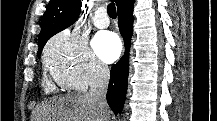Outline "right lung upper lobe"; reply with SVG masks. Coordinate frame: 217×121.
Wrapping results in <instances>:
<instances>
[{
    "mask_svg": "<svg viewBox=\"0 0 217 121\" xmlns=\"http://www.w3.org/2000/svg\"><path fill=\"white\" fill-rule=\"evenodd\" d=\"M120 5L123 0H114ZM81 0H50L48 7L41 20L39 34V51H42L45 43L53 35L72 25L81 12Z\"/></svg>",
    "mask_w": 217,
    "mask_h": 121,
    "instance_id": "right-lung-upper-lobe-1",
    "label": "right lung upper lobe"
}]
</instances>
